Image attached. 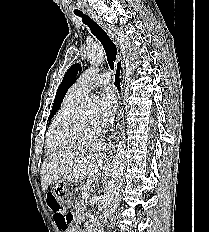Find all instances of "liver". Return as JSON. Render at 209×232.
<instances>
[{"label":"liver","instance_id":"1","mask_svg":"<svg viewBox=\"0 0 209 232\" xmlns=\"http://www.w3.org/2000/svg\"><path fill=\"white\" fill-rule=\"evenodd\" d=\"M109 148L101 140L83 142L50 154L42 164L41 186L45 192L58 179L79 182L87 178L97 182L102 174Z\"/></svg>","mask_w":209,"mask_h":232}]
</instances>
